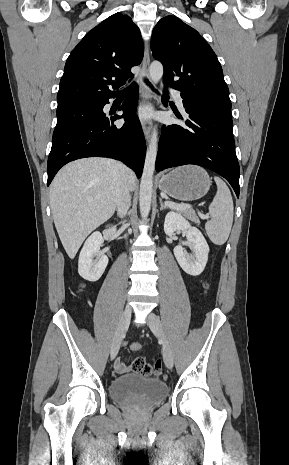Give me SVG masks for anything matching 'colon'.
I'll return each mask as SVG.
<instances>
[{"label": "colon", "mask_w": 289, "mask_h": 465, "mask_svg": "<svg viewBox=\"0 0 289 465\" xmlns=\"http://www.w3.org/2000/svg\"><path fill=\"white\" fill-rule=\"evenodd\" d=\"M208 288V285L205 284V289ZM131 350L138 352L141 350V345L139 343H133L131 345ZM134 370L136 373H139L144 376H159L161 374V362L156 361L154 364L148 363L144 358L138 357L134 361Z\"/></svg>", "instance_id": "5ec220e1"}]
</instances>
